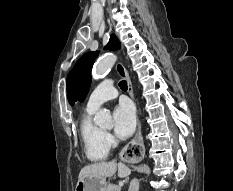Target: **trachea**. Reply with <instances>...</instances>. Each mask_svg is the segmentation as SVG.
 Listing matches in <instances>:
<instances>
[{
  "instance_id": "trachea-1",
  "label": "trachea",
  "mask_w": 233,
  "mask_h": 191,
  "mask_svg": "<svg viewBox=\"0 0 233 191\" xmlns=\"http://www.w3.org/2000/svg\"><path fill=\"white\" fill-rule=\"evenodd\" d=\"M119 86L122 90H127V82L126 81H120Z\"/></svg>"
}]
</instances>
